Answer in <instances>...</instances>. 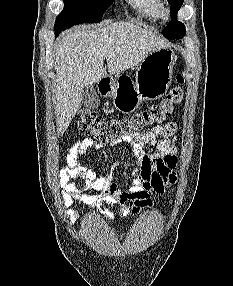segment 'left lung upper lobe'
<instances>
[{
  "mask_svg": "<svg viewBox=\"0 0 233 286\" xmlns=\"http://www.w3.org/2000/svg\"><path fill=\"white\" fill-rule=\"evenodd\" d=\"M171 5L170 11L173 16L171 22L163 30V35L168 39H180L185 35V26L177 21L176 15L183 4V0H168Z\"/></svg>",
  "mask_w": 233,
  "mask_h": 286,
  "instance_id": "5c2ea615",
  "label": "left lung upper lobe"
}]
</instances>
